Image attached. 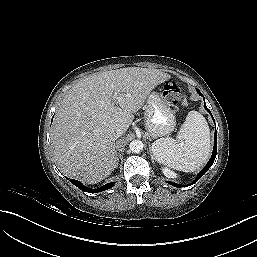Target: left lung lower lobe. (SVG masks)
I'll list each match as a JSON object with an SVG mask.
<instances>
[{
	"mask_svg": "<svg viewBox=\"0 0 257 257\" xmlns=\"http://www.w3.org/2000/svg\"><path fill=\"white\" fill-rule=\"evenodd\" d=\"M198 94L203 96L201 94V92L199 90H197ZM204 108L210 113V115L212 116L210 110L206 107L205 105V100H204ZM213 118V116H212ZM214 120V118H213ZM215 122V120H214ZM216 128V127H215ZM216 154H217V133H216V129H215V135H214V147H213V153H212V156L210 158V160L208 161L207 165L204 167V169L198 174V176L196 177V179L193 181L192 184H194L195 182H197L207 171L208 169L212 166L214 160H215V157H216ZM169 184L175 186V187H184V185H180V184H177V183H173V182H168ZM191 185V184H190ZM186 186H189V185H186Z\"/></svg>",
	"mask_w": 257,
	"mask_h": 257,
	"instance_id": "1",
	"label": "left lung lower lobe"
}]
</instances>
